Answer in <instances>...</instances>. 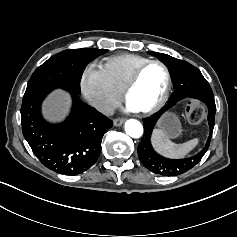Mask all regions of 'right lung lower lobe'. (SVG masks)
Segmentation results:
<instances>
[{
	"label": "right lung lower lobe",
	"mask_w": 237,
	"mask_h": 237,
	"mask_svg": "<svg viewBox=\"0 0 237 237\" xmlns=\"http://www.w3.org/2000/svg\"><path fill=\"white\" fill-rule=\"evenodd\" d=\"M71 93V92H70ZM72 112L61 124L47 123L41 115L44 97L22 104L21 123L25 139L38 159L49 169L80 174L97 161L104 133L113 122L71 93Z\"/></svg>",
	"instance_id": "obj_1"
}]
</instances>
